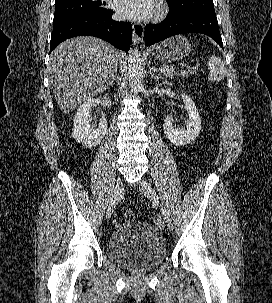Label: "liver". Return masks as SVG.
<instances>
[{"instance_id": "1", "label": "liver", "mask_w": 272, "mask_h": 303, "mask_svg": "<svg viewBox=\"0 0 272 303\" xmlns=\"http://www.w3.org/2000/svg\"><path fill=\"white\" fill-rule=\"evenodd\" d=\"M121 57L120 51L95 37H74L58 45L49 70L60 110L69 113L106 90Z\"/></svg>"}]
</instances>
